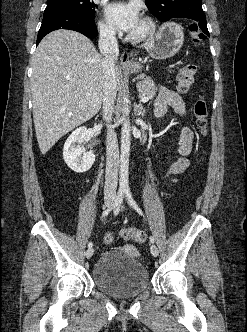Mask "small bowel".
I'll return each mask as SVG.
<instances>
[{
  "label": "small bowel",
  "instance_id": "1",
  "mask_svg": "<svg viewBox=\"0 0 247 332\" xmlns=\"http://www.w3.org/2000/svg\"><path fill=\"white\" fill-rule=\"evenodd\" d=\"M171 107L181 116L186 114L184 103L180 96L166 88H161L154 102L153 112L156 117L163 116ZM193 131L188 126H183L179 140V158L168 170L169 176H177L185 172L189 167V155L193 148Z\"/></svg>",
  "mask_w": 247,
  "mask_h": 332
}]
</instances>
